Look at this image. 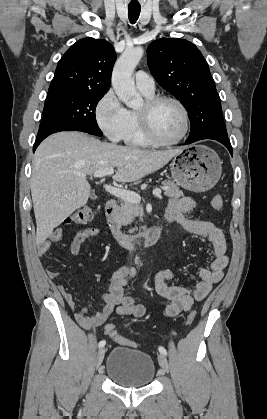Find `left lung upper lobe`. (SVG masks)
Wrapping results in <instances>:
<instances>
[{
    "label": "left lung upper lobe",
    "mask_w": 267,
    "mask_h": 419,
    "mask_svg": "<svg viewBox=\"0 0 267 419\" xmlns=\"http://www.w3.org/2000/svg\"><path fill=\"white\" fill-rule=\"evenodd\" d=\"M147 61L158 84L186 108L191 127L205 121L215 136L227 134L215 82L193 43L178 38L155 40L148 46Z\"/></svg>",
    "instance_id": "1"
}]
</instances>
